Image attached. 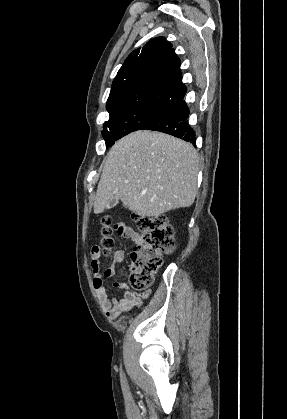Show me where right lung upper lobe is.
<instances>
[{"mask_svg": "<svg viewBox=\"0 0 287 419\" xmlns=\"http://www.w3.org/2000/svg\"><path fill=\"white\" fill-rule=\"evenodd\" d=\"M180 60L163 37L134 50L113 81L107 100L109 113L134 105H165L183 99Z\"/></svg>", "mask_w": 287, "mask_h": 419, "instance_id": "right-lung-upper-lobe-1", "label": "right lung upper lobe"}]
</instances>
